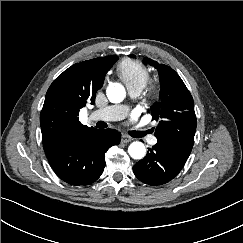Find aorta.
Wrapping results in <instances>:
<instances>
[{
	"instance_id": "aorta-1",
	"label": "aorta",
	"mask_w": 243,
	"mask_h": 243,
	"mask_svg": "<svg viewBox=\"0 0 243 243\" xmlns=\"http://www.w3.org/2000/svg\"><path fill=\"white\" fill-rule=\"evenodd\" d=\"M107 97L112 103L121 102L125 96V88L119 83H110L106 90ZM128 153L133 159H142L145 156L146 149L142 142H132L128 147Z\"/></svg>"
}]
</instances>
